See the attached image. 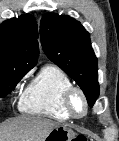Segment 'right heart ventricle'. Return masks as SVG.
<instances>
[{"instance_id":"obj_1","label":"right heart ventricle","mask_w":119,"mask_h":141,"mask_svg":"<svg viewBox=\"0 0 119 141\" xmlns=\"http://www.w3.org/2000/svg\"><path fill=\"white\" fill-rule=\"evenodd\" d=\"M73 86L69 76L59 67L47 64L30 83L21 99V109L55 120L70 119L63 107L64 92Z\"/></svg>"}]
</instances>
